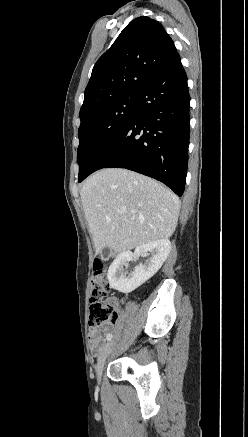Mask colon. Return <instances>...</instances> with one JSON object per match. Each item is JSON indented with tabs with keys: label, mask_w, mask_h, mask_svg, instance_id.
I'll return each instance as SVG.
<instances>
[{
	"label": "colon",
	"mask_w": 248,
	"mask_h": 437,
	"mask_svg": "<svg viewBox=\"0 0 248 437\" xmlns=\"http://www.w3.org/2000/svg\"><path fill=\"white\" fill-rule=\"evenodd\" d=\"M110 285L106 279L105 265L97 260L94 263L90 285L89 325L93 328L115 323L118 317L117 306L109 298Z\"/></svg>",
	"instance_id": "obj_1"
}]
</instances>
